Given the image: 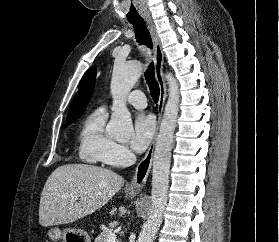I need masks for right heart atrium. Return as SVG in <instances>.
I'll list each match as a JSON object with an SVG mask.
<instances>
[{"label":"right heart atrium","instance_id":"right-heart-atrium-1","mask_svg":"<svg viewBox=\"0 0 279 242\" xmlns=\"http://www.w3.org/2000/svg\"><path fill=\"white\" fill-rule=\"evenodd\" d=\"M132 159V154L129 149L121 143H115L108 153L105 163L110 166H123L129 163Z\"/></svg>","mask_w":279,"mask_h":242}]
</instances>
